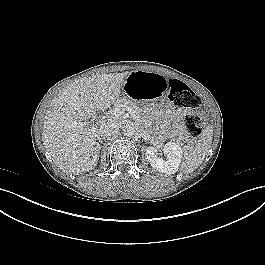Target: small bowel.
<instances>
[{
	"mask_svg": "<svg viewBox=\"0 0 265 265\" xmlns=\"http://www.w3.org/2000/svg\"><path fill=\"white\" fill-rule=\"evenodd\" d=\"M177 114H178L179 116H181V115L183 114V112H182V111H177Z\"/></svg>",
	"mask_w": 265,
	"mask_h": 265,
	"instance_id": "c3829d8e",
	"label": "small bowel"
}]
</instances>
